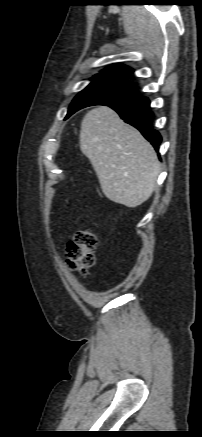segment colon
Masks as SVG:
<instances>
[{
  "label": "colon",
  "instance_id": "obj_1",
  "mask_svg": "<svg viewBox=\"0 0 202 437\" xmlns=\"http://www.w3.org/2000/svg\"><path fill=\"white\" fill-rule=\"evenodd\" d=\"M96 246V236L86 228L79 229L66 247V259L70 267L85 275L95 263Z\"/></svg>",
  "mask_w": 202,
  "mask_h": 437
}]
</instances>
